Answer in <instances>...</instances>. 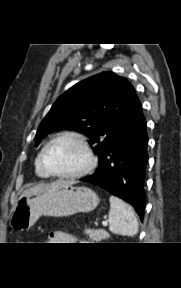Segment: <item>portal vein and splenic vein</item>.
Instances as JSON below:
<instances>
[{"mask_svg":"<svg viewBox=\"0 0 181 288\" xmlns=\"http://www.w3.org/2000/svg\"><path fill=\"white\" fill-rule=\"evenodd\" d=\"M102 225H103L104 227H106V226H107V222L104 221V222L102 223Z\"/></svg>","mask_w":181,"mask_h":288,"instance_id":"obj_1","label":"portal vein and splenic vein"}]
</instances>
